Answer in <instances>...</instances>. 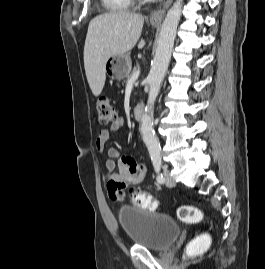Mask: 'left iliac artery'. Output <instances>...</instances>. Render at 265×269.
<instances>
[{
    "instance_id": "left-iliac-artery-1",
    "label": "left iliac artery",
    "mask_w": 265,
    "mask_h": 269,
    "mask_svg": "<svg viewBox=\"0 0 265 269\" xmlns=\"http://www.w3.org/2000/svg\"><path fill=\"white\" fill-rule=\"evenodd\" d=\"M155 172H156V180L158 183L162 184L164 183L165 179L163 177V174L160 172L161 166H162V161L160 156H153L151 158Z\"/></svg>"
}]
</instances>
